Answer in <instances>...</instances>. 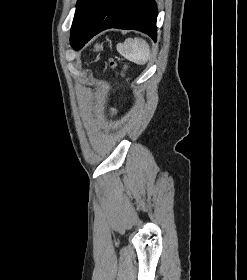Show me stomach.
I'll use <instances>...</instances> for the list:
<instances>
[{
	"instance_id": "0dacf381",
	"label": "stomach",
	"mask_w": 247,
	"mask_h": 280,
	"mask_svg": "<svg viewBox=\"0 0 247 280\" xmlns=\"http://www.w3.org/2000/svg\"><path fill=\"white\" fill-rule=\"evenodd\" d=\"M103 49V44H96L95 45V51H99Z\"/></svg>"
}]
</instances>
